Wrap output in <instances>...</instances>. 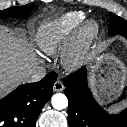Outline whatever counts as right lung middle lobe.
Returning <instances> with one entry per match:
<instances>
[{
  "mask_svg": "<svg viewBox=\"0 0 127 127\" xmlns=\"http://www.w3.org/2000/svg\"><path fill=\"white\" fill-rule=\"evenodd\" d=\"M35 7L34 3H30L24 6L12 7L5 10L0 11V19L1 18H9V17H22L30 13Z\"/></svg>",
  "mask_w": 127,
  "mask_h": 127,
  "instance_id": "dd1d6c3e",
  "label": "right lung middle lobe"
}]
</instances>
